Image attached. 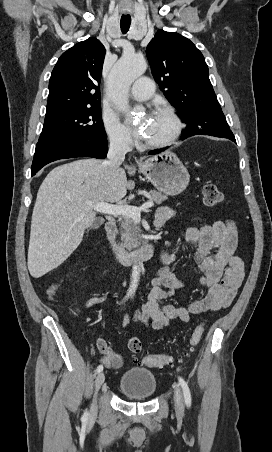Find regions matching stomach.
<instances>
[{
    "instance_id": "0dacf381",
    "label": "stomach",
    "mask_w": 272,
    "mask_h": 452,
    "mask_svg": "<svg viewBox=\"0 0 272 452\" xmlns=\"http://www.w3.org/2000/svg\"><path fill=\"white\" fill-rule=\"evenodd\" d=\"M140 172L161 193L175 196L189 184L190 175L177 155L165 151L139 164Z\"/></svg>"
}]
</instances>
